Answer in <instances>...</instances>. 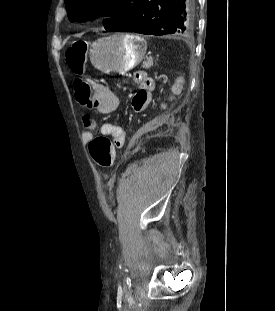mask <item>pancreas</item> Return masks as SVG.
Wrapping results in <instances>:
<instances>
[{"label": "pancreas", "mask_w": 275, "mask_h": 311, "mask_svg": "<svg viewBox=\"0 0 275 311\" xmlns=\"http://www.w3.org/2000/svg\"><path fill=\"white\" fill-rule=\"evenodd\" d=\"M147 63H148V61H144L143 62V67H146Z\"/></svg>", "instance_id": "pancreas-1"}]
</instances>
